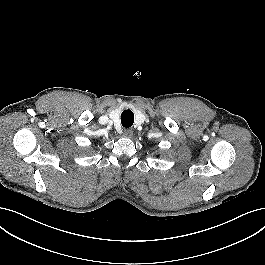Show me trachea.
Instances as JSON below:
<instances>
[{"mask_svg": "<svg viewBox=\"0 0 265 265\" xmlns=\"http://www.w3.org/2000/svg\"><path fill=\"white\" fill-rule=\"evenodd\" d=\"M134 123V114L131 110H124L121 114V124L125 128H130Z\"/></svg>", "mask_w": 265, "mask_h": 265, "instance_id": "trachea-1", "label": "trachea"}]
</instances>
